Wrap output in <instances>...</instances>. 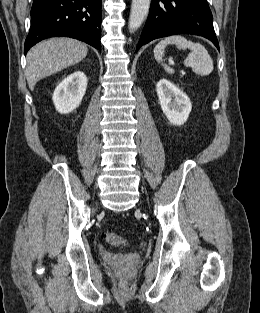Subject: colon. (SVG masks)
I'll list each match as a JSON object with an SVG mask.
<instances>
[{
    "mask_svg": "<svg viewBox=\"0 0 260 313\" xmlns=\"http://www.w3.org/2000/svg\"><path fill=\"white\" fill-rule=\"evenodd\" d=\"M104 238L107 243L113 246H123L125 245V241L115 232L113 231H106L104 233Z\"/></svg>",
    "mask_w": 260,
    "mask_h": 313,
    "instance_id": "obj_1",
    "label": "colon"
}]
</instances>
